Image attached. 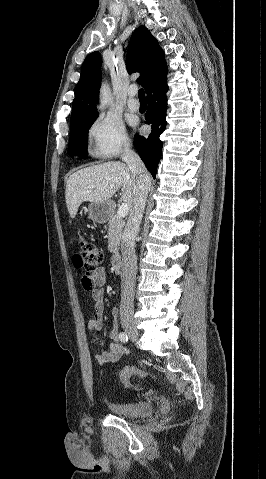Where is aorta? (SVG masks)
Masks as SVG:
<instances>
[{
    "mask_svg": "<svg viewBox=\"0 0 266 479\" xmlns=\"http://www.w3.org/2000/svg\"><path fill=\"white\" fill-rule=\"evenodd\" d=\"M111 100V92L108 86H104L101 91V107Z\"/></svg>",
    "mask_w": 266,
    "mask_h": 479,
    "instance_id": "obj_1",
    "label": "aorta"
}]
</instances>
